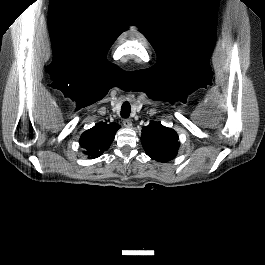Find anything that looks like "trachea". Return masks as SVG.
<instances>
[{
	"mask_svg": "<svg viewBox=\"0 0 265 265\" xmlns=\"http://www.w3.org/2000/svg\"><path fill=\"white\" fill-rule=\"evenodd\" d=\"M130 112H131L130 103L128 101H125L121 107V116L123 118H128L130 116Z\"/></svg>",
	"mask_w": 265,
	"mask_h": 265,
	"instance_id": "3493384b",
	"label": "trachea"
}]
</instances>
